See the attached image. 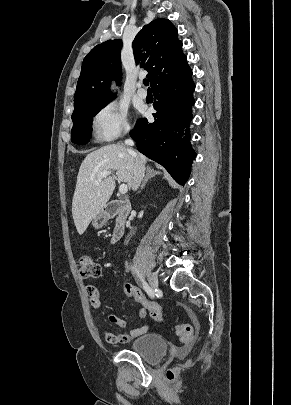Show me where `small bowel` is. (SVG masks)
Instances as JSON below:
<instances>
[{
  "instance_id": "c3829d8e",
  "label": "small bowel",
  "mask_w": 291,
  "mask_h": 405,
  "mask_svg": "<svg viewBox=\"0 0 291 405\" xmlns=\"http://www.w3.org/2000/svg\"><path fill=\"white\" fill-rule=\"evenodd\" d=\"M90 301L94 308H98L100 306V299H99L98 295L95 297H90ZM185 310H186L188 317L192 321V323L195 326H197L198 321H197L194 313L188 308H186ZM146 315H147V310L144 306H142V308H140V310L138 311V316L140 318H145ZM108 320L112 324L117 325L119 327L126 326V321L117 317L115 314H109ZM147 331H148V326L134 328V329H131L129 332H125L122 334H113L109 331H104V338L108 343L115 345V344L127 343V342L131 341L132 339H135V338L139 337L140 335L146 333Z\"/></svg>"
}]
</instances>
